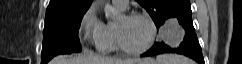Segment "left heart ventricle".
<instances>
[{"instance_id":"b2bd125f","label":"left heart ventricle","mask_w":242,"mask_h":64,"mask_svg":"<svg viewBox=\"0 0 242 64\" xmlns=\"http://www.w3.org/2000/svg\"><path fill=\"white\" fill-rule=\"evenodd\" d=\"M123 42L131 48L143 46L150 35L149 25L141 19H127L122 16L116 23Z\"/></svg>"}]
</instances>
